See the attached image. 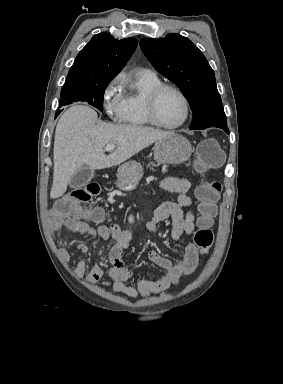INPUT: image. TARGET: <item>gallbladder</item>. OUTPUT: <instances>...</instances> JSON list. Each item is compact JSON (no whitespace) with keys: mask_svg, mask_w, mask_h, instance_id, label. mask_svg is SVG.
<instances>
[{"mask_svg":"<svg viewBox=\"0 0 283 384\" xmlns=\"http://www.w3.org/2000/svg\"><path fill=\"white\" fill-rule=\"evenodd\" d=\"M93 176V170H89V168H85V166H82L74 176H72L69 186L70 188H74L75 186H78L79 188H83V186H86L88 182H90L91 178Z\"/></svg>","mask_w":283,"mask_h":384,"instance_id":"gallbladder-1","label":"gallbladder"}]
</instances>
